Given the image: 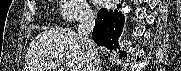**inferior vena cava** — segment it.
Wrapping results in <instances>:
<instances>
[{
  "mask_svg": "<svg viewBox=\"0 0 181 71\" xmlns=\"http://www.w3.org/2000/svg\"><path fill=\"white\" fill-rule=\"evenodd\" d=\"M94 25L95 16L93 13L86 12L81 16L77 33L86 54L85 69L83 71H100V58L96 45L93 40L89 38Z\"/></svg>",
  "mask_w": 181,
  "mask_h": 71,
  "instance_id": "1",
  "label": "inferior vena cava"
}]
</instances>
